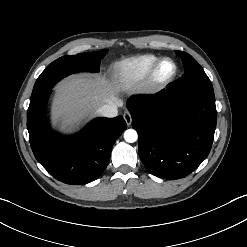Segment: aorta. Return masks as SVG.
Segmentation results:
<instances>
[{"label":"aorta","mask_w":247,"mask_h":247,"mask_svg":"<svg viewBox=\"0 0 247 247\" xmlns=\"http://www.w3.org/2000/svg\"><path fill=\"white\" fill-rule=\"evenodd\" d=\"M124 139L128 143H133L138 139V134L134 129H128L124 132Z\"/></svg>","instance_id":"obj_1"}]
</instances>
